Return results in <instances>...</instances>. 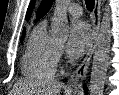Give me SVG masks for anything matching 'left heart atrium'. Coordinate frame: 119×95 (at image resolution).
<instances>
[{"label":"left heart atrium","instance_id":"obj_1","mask_svg":"<svg viewBox=\"0 0 119 95\" xmlns=\"http://www.w3.org/2000/svg\"><path fill=\"white\" fill-rule=\"evenodd\" d=\"M92 33L89 25L82 20H75L70 27L67 52L72 57L82 55L90 45Z\"/></svg>","mask_w":119,"mask_h":95}]
</instances>
